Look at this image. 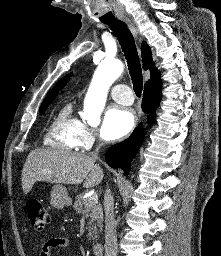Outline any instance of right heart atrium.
I'll list each match as a JSON object with an SVG mask.
<instances>
[{"label":"right heart atrium","mask_w":221,"mask_h":256,"mask_svg":"<svg viewBox=\"0 0 221 256\" xmlns=\"http://www.w3.org/2000/svg\"><path fill=\"white\" fill-rule=\"evenodd\" d=\"M75 138L77 147L84 150L91 149L99 142L96 130L80 120L76 127Z\"/></svg>","instance_id":"obj_1"}]
</instances>
